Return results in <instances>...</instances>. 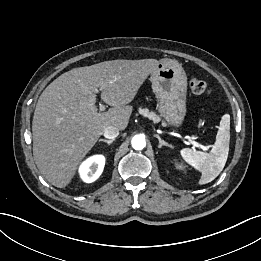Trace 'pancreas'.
Segmentation results:
<instances>
[{
  "label": "pancreas",
  "instance_id": "1",
  "mask_svg": "<svg viewBox=\"0 0 261 261\" xmlns=\"http://www.w3.org/2000/svg\"><path fill=\"white\" fill-rule=\"evenodd\" d=\"M139 113L144 117H148L149 119L153 120L154 122H159L161 119L157 116L154 112L149 111L148 109H139Z\"/></svg>",
  "mask_w": 261,
  "mask_h": 261
}]
</instances>
